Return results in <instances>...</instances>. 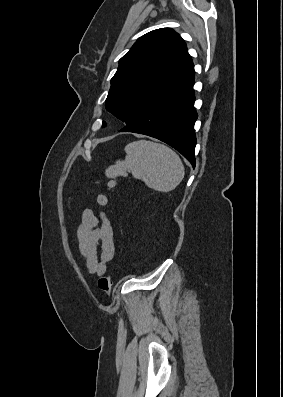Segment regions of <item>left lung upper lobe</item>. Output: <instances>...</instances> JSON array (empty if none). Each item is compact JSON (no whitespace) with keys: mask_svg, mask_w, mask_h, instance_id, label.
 <instances>
[{"mask_svg":"<svg viewBox=\"0 0 283 397\" xmlns=\"http://www.w3.org/2000/svg\"><path fill=\"white\" fill-rule=\"evenodd\" d=\"M194 74L191 56L179 34L171 28L153 30L120 59L106 109L129 125L158 100L191 81Z\"/></svg>","mask_w":283,"mask_h":397,"instance_id":"5c2ea615","label":"left lung upper lobe"}]
</instances>
